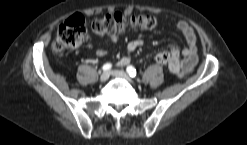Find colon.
Masks as SVG:
<instances>
[{
    "label": "colon",
    "mask_w": 247,
    "mask_h": 145,
    "mask_svg": "<svg viewBox=\"0 0 247 145\" xmlns=\"http://www.w3.org/2000/svg\"><path fill=\"white\" fill-rule=\"evenodd\" d=\"M157 20L149 14L126 16L122 13H111L95 19L91 23V30L98 36L117 35L127 29L153 30ZM87 36L84 18L74 15L64 21L58 28L53 42L56 52H64L79 46ZM156 60L161 64L169 61V55L164 52L157 55Z\"/></svg>",
    "instance_id": "1"
}]
</instances>
